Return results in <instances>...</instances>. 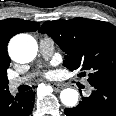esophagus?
Listing matches in <instances>:
<instances>
[{"mask_svg":"<svg viewBox=\"0 0 116 116\" xmlns=\"http://www.w3.org/2000/svg\"><path fill=\"white\" fill-rule=\"evenodd\" d=\"M49 85L56 91H59L62 89V86L56 83H50Z\"/></svg>","mask_w":116,"mask_h":116,"instance_id":"esophagus-1","label":"esophagus"}]
</instances>
